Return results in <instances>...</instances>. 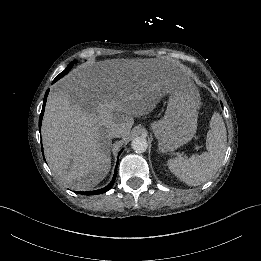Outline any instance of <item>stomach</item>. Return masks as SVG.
Listing matches in <instances>:
<instances>
[{"mask_svg": "<svg viewBox=\"0 0 261 261\" xmlns=\"http://www.w3.org/2000/svg\"><path fill=\"white\" fill-rule=\"evenodd\" d=\"M169 94L163 119L150 125L158 140L159 151L163 153L174 151L194 137L201 105L199 91L194 85L174 89Z\"/></svg>", "mask_w": 261, "mask_h": 261, "instance_id": "0dacf381", "label": "stomach"}]
</instances>
